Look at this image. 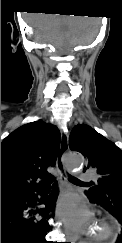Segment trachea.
Wrapping results in <instances>:
<instances>
[{
  "instance_id": "1",
  "label": "trachea",
  "mask_w": 122,
  "mask_h": 243,
  "mask_svg": "<svg viewBox=\"0 0 122 243\" xmlns=\"http://www.w3.org/2000/svg\"><path fill=\"white\" fill-rule=\"evenodd\" d=\"M70 181L71 182H82L80 181L79 179L75 178V177H72L70 176ZM53 182V180H49L46 184H45V187H50L51 183Z\"/></svg>"
}]
</instances>
